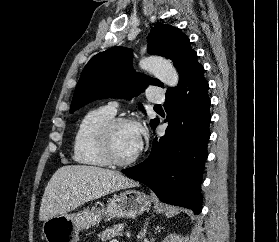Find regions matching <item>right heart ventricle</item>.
Returning <instances> with one entry per match:
<instances>
[{
  "label": "right heart ventricle",
  "instance_id": "obj_1",
  "mask_svg": "<svg viewBox=\"0 0 279 242\" xmlns=\"http://www.w3.org/2000/svg\"><path fill=\"white\" fill-rule=\"evenodd\" d=\"M114 117L109 107H100L86 113L80 120L73 141V160L81 165L106 167L109 165L95 139L97 127Z\"/></svg>",
  "mask_w": 279,
  "mask_h": 242
}]
</instances>
